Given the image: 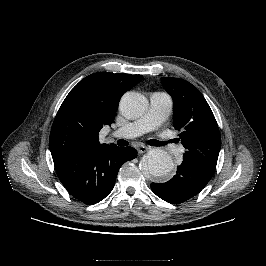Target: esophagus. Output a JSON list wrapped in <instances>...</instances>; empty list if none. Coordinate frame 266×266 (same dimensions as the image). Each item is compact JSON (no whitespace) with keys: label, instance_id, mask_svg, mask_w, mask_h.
<instances>
[{"label":"esophagus","instance_id":"esophagus-1","mask_svg":"<svg viewBox=\"0 0 266 266\" xmlns=\"http://www.w3.org/2000/svg\"><path fill=\"white\" fill-rule=\"evenodd\" d=\"M148 150V147L146 146H137V151L138 153L142 154V153H145L146 151Z\"/></svg>","mask_w":266,"mask_h":266}]
</instances>
